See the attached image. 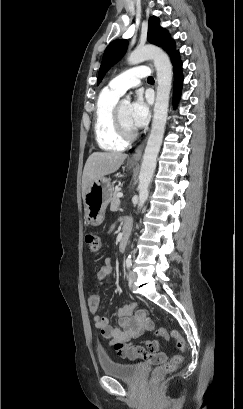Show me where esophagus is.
<instances>
[{
	"label": "esophagus",
	"instance_id": "esophagus-1",
	"mask_svg": "<svg viewBox=\"0 0 243 409\" xmlns=\"http://www.w3.org/2000/svg\"><path fill=\"white\" fill-rule=\"evenodd\" d=\"M145 142L146 140H144L133 152V154L130 156L129 161L131 163H137L140 161L141 156H142V152L145 146Z\"/></svg>",
	"mask_w": 243,
	"mask_h": 409
}]
</instances>
